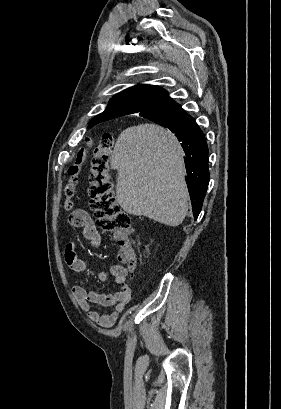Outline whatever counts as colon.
Wrapping results in <instances>:
<instances>
[{
  "label": "colon",
  "instance_id": "1",
  "mask_svg": "<svg viewBox=\"0 0 281 409\" xmlns=\"http://www.w3.org/2000/svg\"><path fill=\"white\" fill-rule=\"evenodd\" d=\"M93 145L79 151L74 162L68 169L70 179L65 185V208L72 209L75 205L74 198L81 182V175L85 166L89 152ZM114 153V142L110 134H103L99 144L94 148L91 156V177L90 193L91 208L97 225L106 231H114L119 234L117 238L118 256L123 261L134 264V244L126 236L128 230L132 228V221L117 204L114 196V183L111 177V159Z\"/></svg>",
  "mask_w": 281,
  "mask_h": 409
}]
</instances>
